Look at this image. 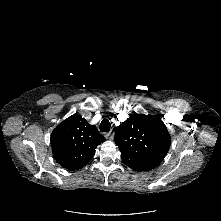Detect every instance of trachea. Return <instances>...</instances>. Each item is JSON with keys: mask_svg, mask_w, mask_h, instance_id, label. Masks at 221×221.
Wrapping results in <instances>:
<instances>
[{"mask_svg": "<svg viewBox=\"0 0 221 221\" xmlns=\"http://www.w3.org/2000/svg\"><path fill=\"white\" fill-rule=\"evenodd\" d=\"M110 127H111V124L109 120L103 119L99 128H100V131L102 132H108L110 130Z\"/></svg>", "mask_w": 221, "mask_h": 221, "instance_id": "trachea-1", "label": "trachea"}]
</instances>
